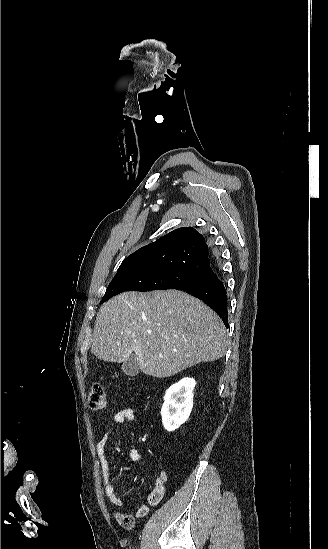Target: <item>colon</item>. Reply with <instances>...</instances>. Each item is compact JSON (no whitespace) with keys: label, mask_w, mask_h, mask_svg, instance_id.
I'll use <instances>...</instances> for the list:
<instances>
[{"label":"colon","mask_w":328,"mask_h":549,"mask_svg":"<svg viewBox=\"0 0 328 549\" xmlns=\"http://www.w3.org/2000/svg\"><path fill=\"white\" fill-rule=\"evenodd\" d=\"M107 404L106 389L101 383H95L88 395V405L93 410H100L105 408ZM117 522L125 529H132L135 523L134 516L131 514H125L121 512L115 513Z\"/></svg>","instance_id":"obj_1"}]
</instances>
